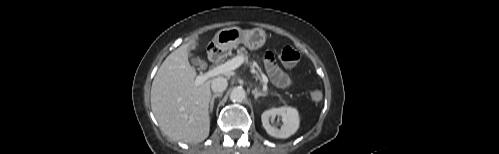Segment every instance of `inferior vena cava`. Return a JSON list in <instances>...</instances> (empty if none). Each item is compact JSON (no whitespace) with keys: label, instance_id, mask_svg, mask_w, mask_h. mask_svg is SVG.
Here are the masks:
<instances>
[{"label":"inferior vena cava","instance_id":"obj_1","mask_svg":"<svg viewBox=\"0 0 499 154\" xmlns=\"http://www.w3.org/2000/svg\"><path fill=\"white\" fill-rule=\"evenodd\" d=\"M228 82L224 77H217L212 80L211 89L215 93H222L227 88Z\"/></svg>","mask_w":499,"mask_h":154}]
</instances>
